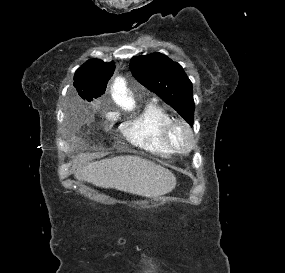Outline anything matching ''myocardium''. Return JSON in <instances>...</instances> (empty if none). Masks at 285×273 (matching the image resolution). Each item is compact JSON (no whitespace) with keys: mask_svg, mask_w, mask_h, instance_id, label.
<instances>
[{"mask_svg":"<svg viewBox=\"0 0 285 273\" xmlns=\"http://www.w3.org/2000/svg\"><path fill=\"white\" fill-rule=\"evenodd\" d=\"M178 128L184 130L187 141L180 145L177 144L173 138L174 131ZM164 138L168 146L174 151L178 153H189L196 146V136L193 132L191 125L181 118H172L169 123L166 125L164 129Z\"/></svg>","mask_w":285,"mask_h":273,"instance_id":"f54148a6","label":"myocardium"}]
</instances>
